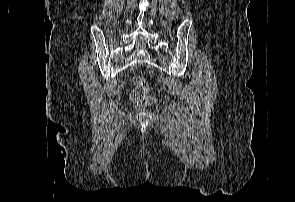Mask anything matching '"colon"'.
<instances>
[{
    "mask_svg": "<svg viewBox=\"0 0 295 202\" xmlns=\"http://www.w3.org/2000/svg\"><path fill=\"white\" fill-rule=\"evenodd\" d=\"M134 88L131 92V99L138 107H146L152 102L149 95L148 83L144 77L136 75L133 77Z\"/></svg>",
    "mask_w": 295,
    "mask_h": 202,
    "instance_id": "colon-1",
    "label": "colon"
}]
</instances>
